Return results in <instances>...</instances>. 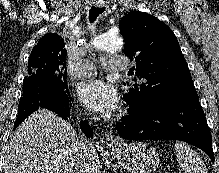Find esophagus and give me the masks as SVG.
Listing matches in <instances>:
<instances>
[{
    "mask_svg": "<svg viewBox=\"0 0 219 173\" xmlns=\"http://www.w3.org/2000/svg\"><path fill=\"white\" fill-rule=\"evenodd\" d=\"M96 6L102 7V6H104V5L101 4V3H96ZM105 141H106V144H107L108 146L117 145V144L119 143V139L116 138V137L114 136V134H113L111 131H107V132L105 133Z\"/></svg>",
    "mask_w": 219,
    "mask_h": 173,
    "instance_id": "obj_1",
    "label": "esophagus"
}]
</instances>
